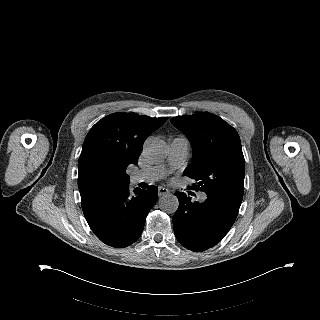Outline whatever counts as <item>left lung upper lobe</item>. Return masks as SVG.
Returning a JSON list of instances; mask_svg holds the SVG:
<instances>
[{
	"mask_svg": "<svg viewBox=\"0 0 320 320\" xmlns=\"http://www.w3.org/2000/svg\"><path fill=\"white\" fill-rule=\"evenodd\" d=\"M171 122L187 136L193 149L184 174L206 194H224L242 202L245 161L237 131L207 112L173 117Z\"/></svg>",
	"mask_w": 320,
	"mask_h": 320,
	"instance_id": "obj_1",
	"label": "left lung upper lobe"
}]
</instances>
